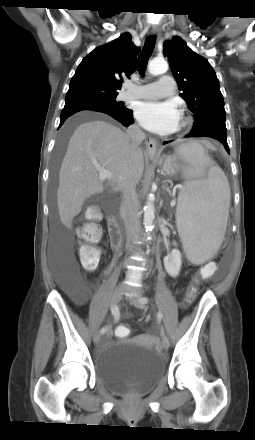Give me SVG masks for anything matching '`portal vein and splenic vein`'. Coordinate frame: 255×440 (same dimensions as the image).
Segmentation results:
<instances>
[{"instance_id":"obj_1","label":"portal vein and splenic vein","mask_w":255,"mask_h":440,"mask_svg":"<svg viewBox=\"0 0 255 440\" xmlns=\"http://www.w3.org/2000/svg\"><path fill=\"white\" fill-rule=\"evenodd\" d=\"M97 170L99 171L100 181H104L105 179H110L112 177V173L106 169H103L101 167H97Z\"/></svg>"}]
</instances>
